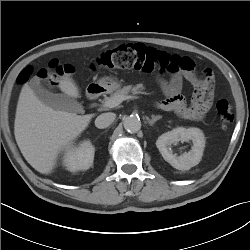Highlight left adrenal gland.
<instances>
[{"mask_svg": "<svg viewBox=\"0 0 250 250\" xmlns=\"http://www.w3.org/2000/svg\"><path fill=\"white\" fill-rule=\"evenodd\" d=\"M151 117H152L151 119H147L150 126L154 125V123H155L156 121H158L159 119L162 118L161 115H157V116L152 115Z\"/></svg>", "mask_w": 250, "mask_h": 250, "instance_id": "obj_1", "label": "left adrenal gland"}]
</instances>
